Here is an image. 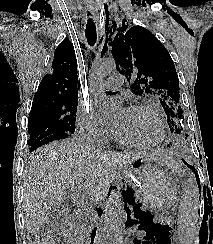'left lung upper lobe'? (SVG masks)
I'll list each match as a JSON object with an SVG mask.
<instances>
[{"label": "left lung upper lobe", "instance_id": "obj_1", "mask_svg": "<svg viewBox=\"0 0 213 244\" xmlns=\"http://www.w3.org/2000/svg\"><path fill=\"white\" fill-rule=\"evenodd\" d=\"M111 35L108 44L112 47L117 69L131 81L132 92L157 98L171 132L186 139L185 114L179 104V79L167 49L141 26L129 29L122 26L113 39Z\"/></svg>", "mask_w": 213, "mask_h": 244}]
</instances>
